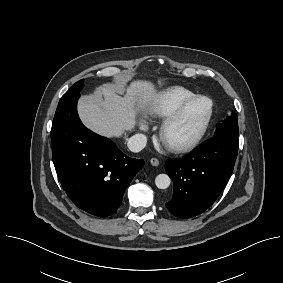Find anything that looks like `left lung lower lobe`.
<instances>
[{
  "label": "left lung lower lobe",
  "instance_id": "obj_1",
  "mask_svg": "<svg viewBox=\"0 0 283 283\" xmlns=\"http://www.w3.org/2000/svg\"><path fill=\"white\" fill-rule=\"evenodd\" d=\"M238 145L212 137L189 157L167 161L166 173L174 182L168 210L180 218L197 216L217 199L233 172Z\"/></svg>",
  "mask_w": 283,
  "mask_h": 283
}]
</instances>
